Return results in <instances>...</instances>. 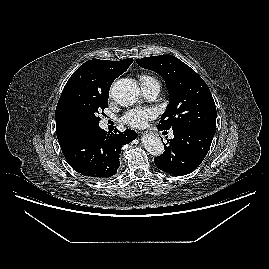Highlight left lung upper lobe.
<instances>
[{"mask_svg":"<svg viewBox=\"0 0 269 269\" xmlns=\"http://www.w3.org/2000/svg\"><path fill=\"white\" fill-rule=\"evenodd\" d=\"M137 63L160 74L168 86L170 100L158 129H216L214 99L206 83L192 68L172 55L145 57L137 59Z\"/></svg>","mask_w":269,"mask_h":269,"instance_id":"left-lung-upper-lobe-1","label":"left lung upper lobe"}]
</instances>
